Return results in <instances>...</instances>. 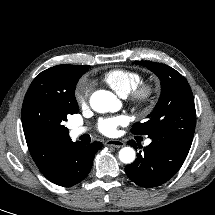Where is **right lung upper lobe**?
<instances>
[{
    "instance_id": "cb5924a9",
    "label": "right lung upper lobe",
    "mask_w": 215,
    "mask_h": 215,
    "mask_svg": "<svg viewBox=\"0 0 215 215\" xmlns=\"http://www.w3.org/2000/svg\"><path fill=\"white\" fill-rule=\"evenodd\" d=\"M75 68L83 66L73 65ZM23 130L30 154L37 167L45 177L51 176L55 171L56 161L63 147L71 141L68 134L48 137L39 134L25 121H22Z\"/></svg>"
}]
</instances>
